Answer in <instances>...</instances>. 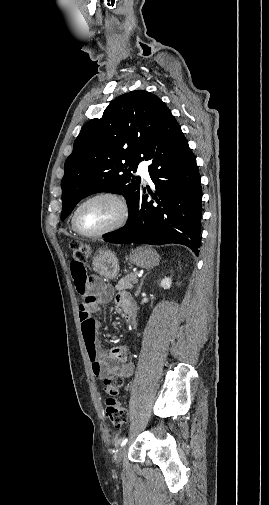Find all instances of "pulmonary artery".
I'll list each match as a JSON object with an SVG mask.
<instances>
[{
    "instance_id": "e3ab8cb5",
    "label": "pulmonary artery",
    "mask_w": 269,
    "mask_h": 505,
    "mask_svg": "<svg viewBox=\"0 0 269 505\" xmlns=\"http://www.w3.org/2000/svg\"><path fill=\"white\" fill-rule=\"evenodd\" d=\"M137 173L145 180L149 179L148 164L146 162H140L138 165Z\"/></svg>"
}]
</instances>
